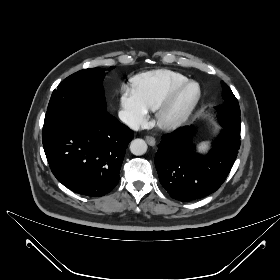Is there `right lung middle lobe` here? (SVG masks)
Segmentation results:
<instances>
[{"label": "right lung middle lobe", "instance_id": "right-lung-middle-lobe-1", "mask_svg": "<svg viewBox=\"0 0 280 280\" xmlns=\"http://www.w3.org/2000/svg\"><path fill=\"white\" fill-rule=\"evenodd\" d=\"M104 77L101 68L83 69L67 77L53 91L45 120L65 112L105 113Z\"/></svg>", "mask_w": 280, "mask_h": 280}]
</instances>
